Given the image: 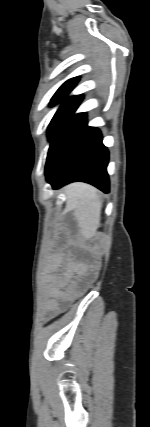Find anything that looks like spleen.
<instances>
[{
	"label": "spleen",
	"instance_id": "obj_1",
	"mask_svg": "<svg viewBox=\"0 0 150 427\" xmlns=\"http://www.w3.org/2000/svg\"><path fill=\"white\" fill-rule=\"evenodd\" d=\"M67 204L75 209V217L82 234L92 237L100 226L103 199L98 191L87 184L71 185L67 191Z\"/></svg>",
	"mask_w": 150,
	"mask_h": 427
}]
</instances>
